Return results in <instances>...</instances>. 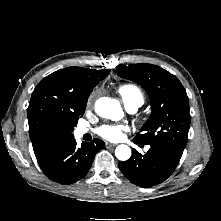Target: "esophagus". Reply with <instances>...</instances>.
Returning <instances> with one entry per match:
<instances>
[{
  "mask_svg": "<svg viewBox=\"0 0 221 221\" xmlns=\"http://www.w3.org/2000/svg\"><path fill=\"white\" fill-rule=\"evenodd\" d=\"M105 146H106L107 148H112V147H115L116 144H112V143L106 142V143H105Z\"/></svg>",
  "mask_w": 221,
  "mask_h": 221,
  "instance_id": "esophagus-1",
  "label": "esophagus"
}]
</instances>
